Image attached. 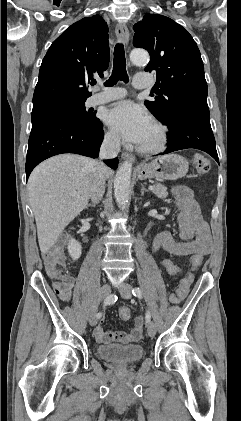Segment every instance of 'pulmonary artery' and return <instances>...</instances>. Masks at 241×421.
Masks as SVG:
<instances>
[{
  "label": "pulmonary artery",
  "instance_id": "pulmonary-artery-1",
  "mask_svg": "<svg viewBox=\"0 0 241 421\" xmlns=\"http://www.w3.org/2000/svg\"><path fill=\"white\" fill-rule=\"evenodd\" d=\"M153 80L147 76L137 75L134 78L133 86L137 89H143L152 85ZM126 95L124 88H109L103 92L93 94L89 99V105H98L107 103L113 100L123 98Z\"/></svg>",
  "mask_w": 241,
  "mask_h": 421
}]
</instances>
